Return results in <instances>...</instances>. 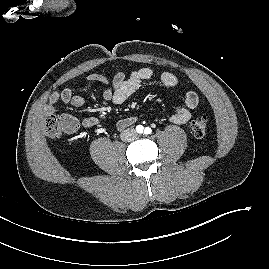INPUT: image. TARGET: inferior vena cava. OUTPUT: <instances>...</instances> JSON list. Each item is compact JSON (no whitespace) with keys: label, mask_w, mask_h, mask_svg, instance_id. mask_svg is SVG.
Wrapping results in <instances>:
<instances>
[{"label":"inferior vena cava","mask_w":269,"mask_h":269,"mask_svg":"<svg viewBox=\"0 0 269 269\" xmlns=\"http://www.w3.org/2000/svg\"><path fill=\"white\" fill-rule=\"evenodd\" d=\"M133 135V137L136 135V132L134 130H130V129H127L124 131V133H122L123 137L124 135Z\"/></svg>","instance_id":"obj_1"}]
</instances>
